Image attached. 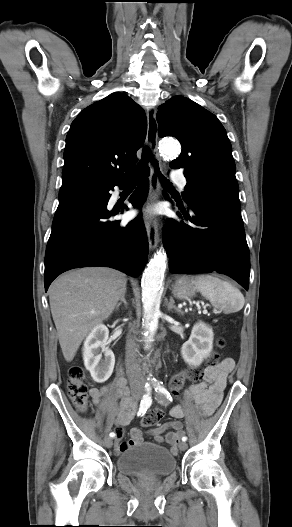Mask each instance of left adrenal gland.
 <instances>
[{
    "instance_id": "obj_1",
    "label": "left adrenal gland",
    "mask_w": 292,
    "mask_h": 527,
    "mask_svg": "<svg viewBox=\"0 0 292 527\" xmlns=\"http://www.w3.org/2000/svg\"><path fill=\"white\" fill-rule=\"evenodd\" d=\"M167 308H168L169 311L174 310V311H176V312H178V313L183 314V311H182L181 309L177 308V307L174 305V299H173L172 297H170V301H169V303L167 304Z\"/></svg>"
}]
</instances>
